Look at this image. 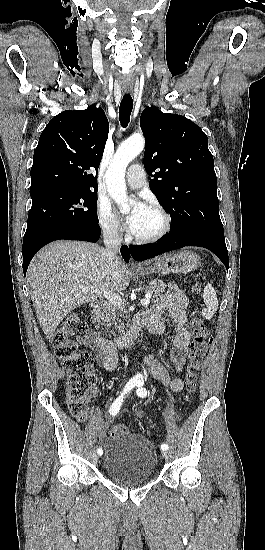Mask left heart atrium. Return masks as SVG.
Segmentation results:
<instances>
[{
	"label": "left heart atrium",
	"instance_id": "39dd6f15",
	"mask_svg": "<svg viewBox=\"0 0 265 550\" xmlns=\"http://www.w3.org/2000/svg\"><path fill=\"white\" fill-rule=\"evenodd\" d=\"M147 208L148 206L144 202L138 201L132 212L126 217V223L132 232L136 228L140 216Z\"/></svg>",
	"mask_w": 265,
	"mask_h": 550
}]
</instances>
